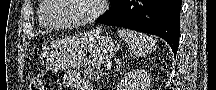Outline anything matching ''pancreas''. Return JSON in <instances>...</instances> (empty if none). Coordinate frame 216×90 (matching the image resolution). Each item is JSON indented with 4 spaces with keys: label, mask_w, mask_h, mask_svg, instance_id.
Masks as SVG:
<instances>
[{
    "label": "pancreas",
    "mask_w": 216,
    "mask_h": 90,
    "mask_svg": "<svg viewBox=\"0 0 216 90\" xmlns=\"http://www.w3.org/2000/svg\"><path fill=\"white\" fill-rule=\"evenodd\" d=\"M100 64H91L88 70H85L84 74L88 80H98V74H100Z\"/></svg>",
    "instance_id": "1"
}]
</instances>
